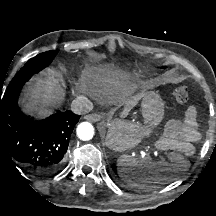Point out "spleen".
<instances>
[{
    "instance_id": "spleen-1",
    "label": "spleen",
    "mask_w": 216,
    "mask_h": 216,
    "mask_svg": "<svg viewBox=\"0 0 216 216\" xmlns=\"http://www.w3.org/2000/svg\"><path fill=\"white\" fill-rule=\"evenodd\" d=\"M178 164L164 161L138 159L123 154L117 159L119 176L133 187L150 190L158 184H167L174 181Z\"/></svg>"
}]
</instances>
